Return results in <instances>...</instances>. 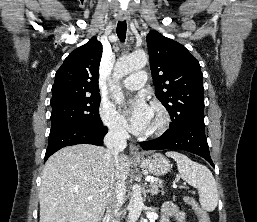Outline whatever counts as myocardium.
Returning a JSON list of instances; mask_svg holds the SVG:
<instances>
[{
  "instance_id": "obj_1",
  "label": "myocardium",
  "mask_w": 257,
  "mask_h": 222,
  "mask_svg": "<svg viewBox=\"0 0 257 222\" xmlns=\"http://www.w3.org/2000/svg\"><path fill=\"white\" fill-rule=\"evenodd\" d=\"M152 109L156 113V120L154 125L148 129V135L158 136L163 134L169 124H170V115L167 108L159 101L152 102Z\"/></svg>"
}]
</instances>
